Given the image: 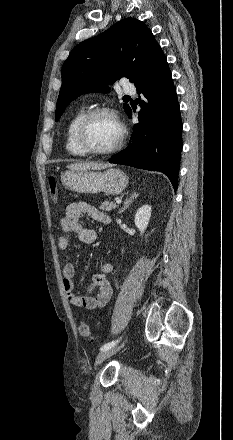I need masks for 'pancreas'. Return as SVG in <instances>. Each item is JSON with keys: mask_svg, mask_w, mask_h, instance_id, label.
I'll list each match as a JSON object with an SVG mask.
<instances>
[{"mask_svg": "<svg viewBox=\"0 0 233 440\" xmlns=\"http://www.w3.org/2000/svg\"><path fill=\"white\" fill-rule=\"evenodd\" d=\"M116 207H117V205L114 204L113 202L105 201L99 206V209H101L103 211H111V210L115 209Z\"/></svg>", "mask_w": 233, "mask_h": 440, "instance_id": "obj_1", "label": "pancreas"}]
</instances>
